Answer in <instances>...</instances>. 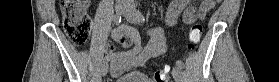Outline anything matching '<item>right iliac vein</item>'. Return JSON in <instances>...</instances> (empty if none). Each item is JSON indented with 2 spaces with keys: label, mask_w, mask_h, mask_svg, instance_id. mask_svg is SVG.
Segmentation results:
<instances>
[{
  "label": "right iliac vein",
  "mask_w": 279,
  "mask_h": 82,
  "mask_svg": "<svg viewBox=\"0 0 279 82\" xmlns=\"http://www.w3.org/2000/svg\"><path fill=\"white\" fill-rule=\"evenodd\" d=\"M125 9H126L125 5H122V4H117L115 7V11L118 14H122L125 11ZM107 72H108V64L105 62L102 64V67H101V75L105 76L107 74Z\"/></svg>",
  "instance_id": "right-iliac-vein-1"
}]
</instances>
